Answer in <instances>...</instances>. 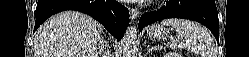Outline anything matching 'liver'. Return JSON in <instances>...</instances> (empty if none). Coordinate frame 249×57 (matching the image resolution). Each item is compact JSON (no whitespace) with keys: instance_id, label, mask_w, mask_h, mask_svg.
I'll use <instances>...</instances> for the list:
<instances>
[{"instance_id":"obj_1","label":"liver","mask_w":249,"mask_h":57,"mask_svg":"<svg viewBox=\"0 0 249 57\" xmlns=\"http://www.w3.org/2000/svg\"><path fill=\"white\" fill-rule=\"evenodd\" d=\"M102 30L101 24L83 13H59L37 30L34 57H98Z\"/></svg>"}]
</instances>
